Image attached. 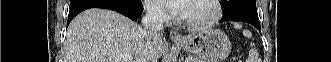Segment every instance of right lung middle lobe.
<instances>
[{
    "label": "right lung middle lobe",
    "instance_id": "right-lung-middle-lobe-1",
    "mask_svg": "<svg viewBox=\"0 0 331 62\" xmlns=\"http://www.w3.org/2000/svg\"><path fill=\"white\" fill-rule=\"evenodd\" d=\"M80 0H71L70 4L76 3ZM126 6H137L141 3V0H113Z\"/></svg>",
    "mask_w": 331,
    "mask_h": 62
}]
</instances>
